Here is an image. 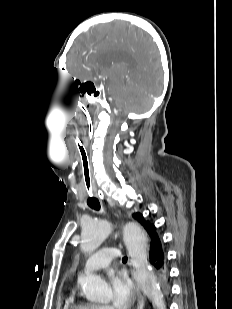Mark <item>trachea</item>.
Segmentation results:
<instances>
[{"label": "trachea", "instance_id": "obj_1", "mask_svg": "<svg viewBox=\"0 0 232 309\" xmlns=\"http://www.w3.org/2000/svg\"><path fill=\"white\" fill-rule=\"evenodd\" d=\"M74 141H75L76 148L80 155L83 183H84V188L88 196L87 204L89 207H91L94 210H100V207H101L100 202L94 196L92 172H91V166H90V160H89L87 148L85 147L84 143L80 139L75 138ZM127 259H128L127 257H123L122 261H127Z\"/></svg>", "mask_w": 232, "mask_h": 309}]
</instances>
